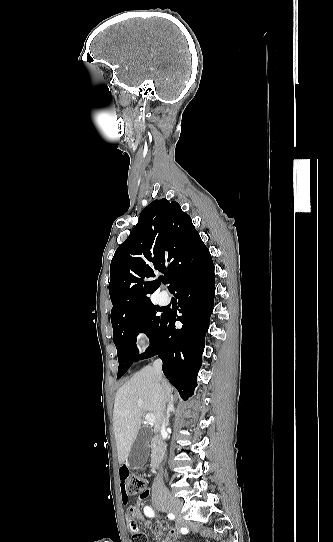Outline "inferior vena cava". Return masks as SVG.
<instances>
[{"label":"inferior vena cava","mask_w":333,"mask_h":542,"mask_svg":"<svg viewBox=\"0 0 333 542\" xmlns=\"http://www.w3.org/2000/svg\"><path fill=\"white\" fill-rule=\"evenodd\" d=\"M153 368L157 374H162V362L161 360H155L153 364ZM162 426H167L166 418H163V424ZM164 482H163V470L160 468L156 478H154L153 486H152V492H157V490H160V488H163Z\"/></svg>","instance_id":"inferior-vena-cava-1"}]
</instances>
